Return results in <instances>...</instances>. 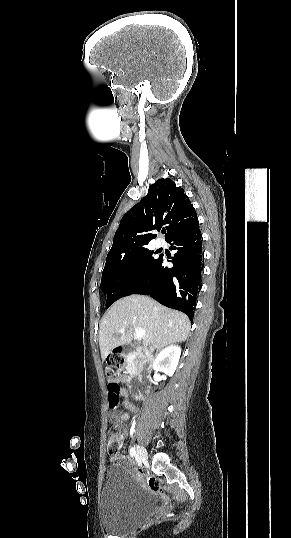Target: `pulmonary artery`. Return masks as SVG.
I'll list each match as a JSON object with an SVG mask.
<instances>
[{
    "mask_svg": "<svg viewBox=\"0 0 291 538\" xmlns=\"http://www.w3.org/2000/svg\"><path fill=\"white\" fill-rule=\"evenodd\" d=\"M163 245L161 240L156 241V247L160 248Z\"/></svg>",
    "mask_w": 291,
    "mask_h": 538,
    "instance_id": "e3ab8cb5",
    "label": "pulmonary artery"
}]
</instances>
